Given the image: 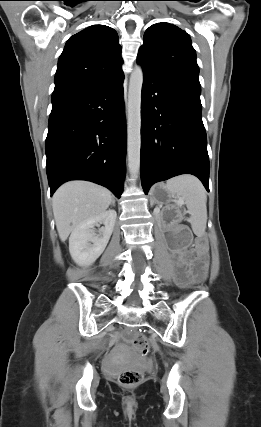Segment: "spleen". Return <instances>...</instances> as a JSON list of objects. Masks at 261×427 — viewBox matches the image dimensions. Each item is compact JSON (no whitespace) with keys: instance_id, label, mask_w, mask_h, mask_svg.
<instances>
[{"instance_id":"1","label":"spleen","mask_w":261,"mask_h":427,"mask_svg":"<svg viewBox=\"0 0 261 427\" xmlns=\"http://www.w3.org/2000/svg\"><path fill=\"white\" fill-rule=\"evenodd\" d=\"M166 188L177 198L178 204L186 205L193 232L203 236L207 223V195L202 183L194 176L182 175L168 180Z\"/></svg>"}]
</instances>
